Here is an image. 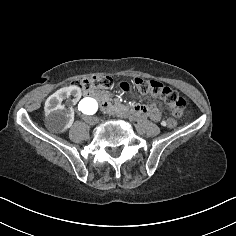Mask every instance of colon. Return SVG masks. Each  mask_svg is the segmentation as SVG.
I'll return each mask as SVG.
<instances>
[{"label":"colon","mask_w":236,"mask_h":236,"mask_svg":"<svg viewBox=\"0 0 236 236\" xmlns=\"http://www.w3.org/2000/svg\"><path fill=\"white\" fill-rule=\"evenodd\" d=\"M71 84L81 88L82 90H98L111 87L113 85V80L109 76L97 74L85 78L75 79ZM132 84L141 93H151L164 100V102L169 106L171 114V117L164 121V125L168 128H174L176 126L177 119L180 118L185 111V100L179 96L176 91L158 81L136 78ZM120 87L122 90L128 91L131 84L123 81L121 82Z\"/></svg>","instance_id":"1"}]
</instances>
